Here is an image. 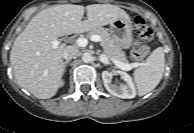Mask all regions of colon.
<instances>
[{"label":"colon","instance_id":"5ec220e1","mask_svg":"<svg viewBox=\"0 0 194 133\" xmlns=\"http://www.w3.org/2000/svg\"><path fill=\"white\" fill-rule=\"evenodd\" d=\"M134 28L138 36L143 40H150L152 38V31L147 25L146 21L137 16L134 18ZM149 52V46L141 44L136 46L130 53V58L134 61L143 59Z\"/></svg>","mask_w":194,"mask_h":133}]
</instances>
